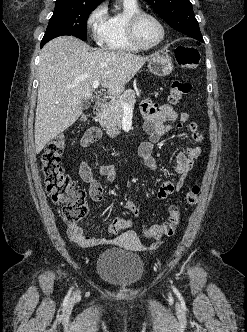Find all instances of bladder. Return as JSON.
Here are the masks:
<instances>
[{
	"instance_id": "bladder-1",
	"label": "bladder",
	"mask_w": 247,
	"mask_h": 332,
	"mask_svg": "<svg viewBox=\"0 0 247 332\" xmlns=\"http://www.w3.org/2000/svg\"><path fill=\"white\" fill-rule=\"evenodd\" d=\"M140 255L122 248H109L97 258V274L106 283L122 288L136 286L144 275Z\"/></svg>"
}]
</instances>
